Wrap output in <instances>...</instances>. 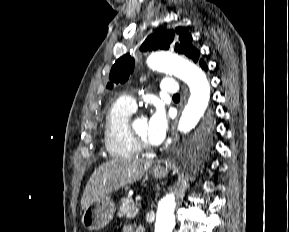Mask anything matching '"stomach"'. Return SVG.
Listing matches in <instances>:
<instances>
[{
  "label": "stomach",
  "mask_w": 289,
  "mask_h": 232,
  "mask_svg": "<svg viewBox=\"0 0 289 232\" xmlns=\"http://www.w3.org/2000/svg\"><path fill=\"white\" fill-rule=\"evenodd\" d=\"M151 174L156 179L165 178L168 169L164 167H154ZM115 213V204L110 196L100 197L91 202L83 209L82 225L87 230H100L106 227L113 219Z\"/></svg>",
  "instance_id": "obj_1"
}]
</instances>
